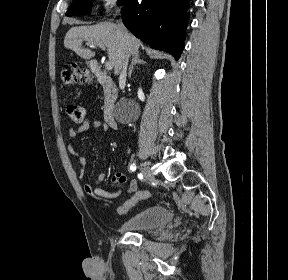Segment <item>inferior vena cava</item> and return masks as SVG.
Segmentation results:
<instances>
[{"instance_id": "1", "label": "inferior vena cava", "mask_w": 288, "mask_h": 280, "mask_svg": "<svg viewBox=\"0 0 288 280\" xmlns=\"http://www.w3.org/2000/svg\"><path fill=\"white\" fill-rule=\"evenodd\" d=\"M121 30H122V35H123V39L125 41L126 44V49H125V55L123 56V64H122V72H121V77H125L126 76V69H127V65H128V60H129V52H128V36H127V32L124 28L123 25H119Z\"/></svg>"}]
</instances>
